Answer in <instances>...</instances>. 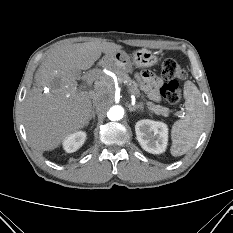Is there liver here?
Here are the masks:
<instances>
[{
    "label": "liver",
    "instance_id": "6515ba94",
    "mask_svg": "<svg viewBox=\"0 0 233 233\" xmlns=\"http://www.w3.org/2000/svg\"><path fill=\"white\" fill-rule=\"evenodd\" d=\"M122 46L91 41L63 44L51 50L35 74L36 87L24 100L27 138L33 148L49 151L87 126L92 113L90 92L77 88L76 75L92 67L101 54L112 55ZM47 88V92L43 89Z\"/></svg>",
    "mask_w": 233,
    "mask_h": 233
}]
</instances>
